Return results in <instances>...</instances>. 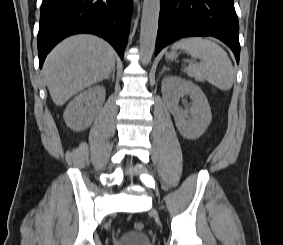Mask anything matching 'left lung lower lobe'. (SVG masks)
I'll return each instance as SVG.
<instances>
[{"mask_svg": "<svg viewBox=\"0 0 283 245\" xmlns=\"http://www.w3.org/2000/svg\"><path fill=\"white\" fill-rule=\"evenodd\" d=\"M187 36L220 39L239 63V23L233 0H161L155 55Z\"/></svg>", "mask_w": 283, "mask_h": 245, "instance_id": "left-lung-lower-lobe-1", "label": "left lung lower lobe"}]
</instances>
